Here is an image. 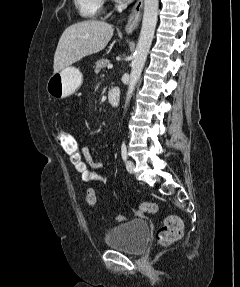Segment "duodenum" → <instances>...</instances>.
I'll list each match as a JSON object with an SVG mask.
<instances>
[{
  "mask_svg": "<svg viewBox=\"0 0 240 287\" xmlns=\"http://www.w3.org/2000/svg\"><path fill=\"white\" fill-rule=\"evenodd\" d=\"M108 101L113 106H118L120 103V90L117 87H113L108 92Z\"/></svg>",
  "mask_w": 240,
  "mask_h": 287,
  "instance_id": "obj_1",
  "label": "duodenum"
}]
</instances>
